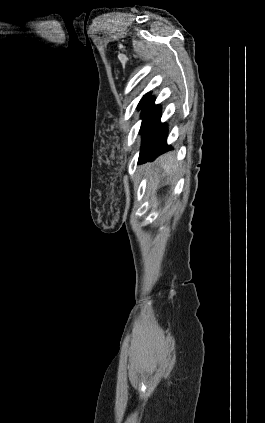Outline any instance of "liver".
Masks as SVG:
<instances>
[{"label": "liver", "instance_id": "liver-1", "mask_svg": "<svg viewBox=\"0 0 265 423\" xmlns=\"http://www.w3.org/2000/svg\"><path fill=\"white\" fill-rule=\"evenodd\" d=\"M159 164L167 176H171L177 170L178 167V165L174 161V157L169 154L160 157Z\"/></svg>", "mask_w": 265, "mask_h": 423}]
</instances>
